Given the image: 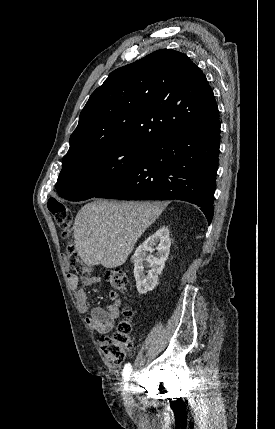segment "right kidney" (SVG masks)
<instances>
[{
    "instance_id": "obj_1",
    "label": "right kidney",
    "mask_w": 275,
    "mask_h": 429,
    "mask_svg": "<svg viewBox=\"0 0 275 429\" xmlns=\"http://www.w3.org/2000/svg\"><path fill=\"white\" fill-rule=\"evenodd\" d=\"M170 246L169 230L163 226L135 250L131 261L134 263V277L139 294H146L157 285L158 275L161 274L169 256ZM155 249L157 253L153 256L151 253ZM145 267L150 268L147 275L144 274Z\"/></svg>"
}]
</instances>
